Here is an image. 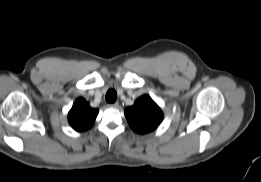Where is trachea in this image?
Wrapping results in <instances>:
<instances>
[{"label":"trachea","instance_id":"obj_1","mask_svg":"<svg viewBox=\"0 0 261 182\" xmlns=\"http://www.w3.org/2000/svg\"><path fill=\"white\" fill-rule=\"evenodd\" d=\"M106 101L108 103H114L117 100V93L114 89H110L108 90V92L106 93Z\"/></svg>","mask_w":261,"mask_h":182}]
</instances>
